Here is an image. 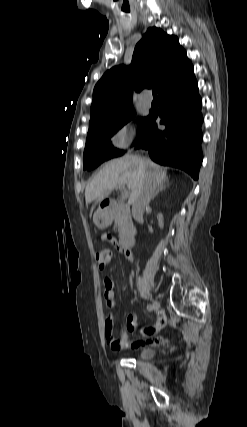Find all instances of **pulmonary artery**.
<instances>
[{"instance_id":"pulmonary-artery-1","label":"pulmonary artery","mask_w":247,"mask_h":427,"mask_svg":"<svg viewBox=\"0 0 247 427\" xmlns=\"http://www.w3.org/2000/svg\"><path fill=\"white\" fill-rule=\"evenodd\" d=\"M141 102H142V104L149 106L152 103V99L149 96H142Z\"/></svg>"}]
</instances>
